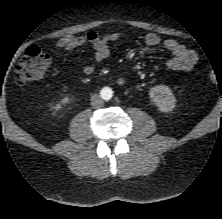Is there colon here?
<instances>
[{"label":"colon","mask_w":222,"mask_h":219,"mask_svg":"<svg viewBox=\"0 0 222 219\" xmlns=\"http://www.w3.org/2000/svg\"><path fill=\"white\" fill-rule=\"evenodd\" d=\"M50 65V57L47 53L37 47L28 48L20 58L15 68V82L19 86H24L30 82L42 79ZM209 80L214 83L216 74L208 72Z\"/></svg>","instance_id":"5ec220e1"}]
</instances>
